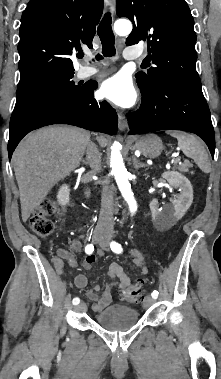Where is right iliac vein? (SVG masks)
Listing matches in <instances>:
<instances>
[{
    "mask_svg": "<svg viewBox=\"0 0 221 379\" xmlns=\"http://www.w3.org/2000/svg\"><path fill=\"white\" fill-rule=\"evenodd\" d=\"M93 241H94L95 243H99V244H101L102 242H104V239H103L101 236H99V235H95V236L93 237ZM86 309H87V306H86V304H85L84 302H81V303L76 307V310H77V311H80V312H84V311H86Z\"/></svg>",
    "mask_w": 221,
    "mask_h": 379,
    "instance_id": "obj_1",
    "label": "right iliac vein"
}]
</instances>
